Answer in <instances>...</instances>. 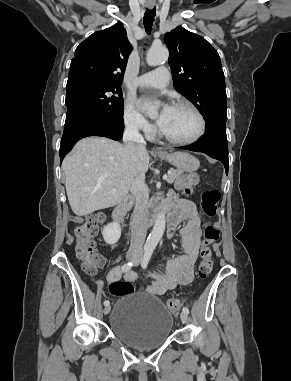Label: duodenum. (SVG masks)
I'll use <instances>...</instances> for the list:
<instances>
[{
    "label": "duodenum",
    "mask_w": 291,
    "mask_h": 381,
    "mask_svg": "<svg viewBox=\"0 0 291 381\" xmlns=\"http://www.w3.org/2000/svg\"><path fill=\"white\" fill-rule=\"evenodd\" d=\"M133 198L131 196H125L122 201L115 207L113 211V218L118 224H122V218L125 212L131 207ZM167 210L159 201H153L150 205V219L149 222H153L159 213H163Z\"/></svg>",
    "instance_id": "1"
}]
</instances>
